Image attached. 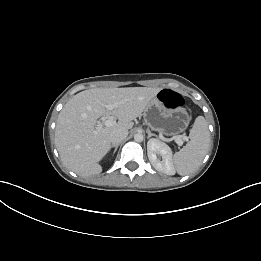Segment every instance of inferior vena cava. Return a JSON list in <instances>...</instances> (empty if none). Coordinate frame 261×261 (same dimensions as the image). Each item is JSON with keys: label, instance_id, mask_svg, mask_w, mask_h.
<instances>
[{"label": "inferior vena cava", "instance_id": "602c4592", "mask_svg": "<svg viewBox=\"0 0 261 261\" xmlns=\"http://www.w3.org/2000/svg\"><path fill=\"white\" fill-rule=\"evenodd\" d=\"M128 136V130L126 129H116L110 134V142L112 145L119 144Z\"/></svg>", "mask_w": 261, "mask_h": 261}]
</instances>
